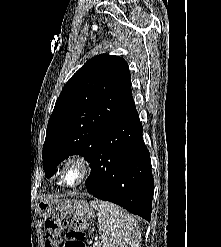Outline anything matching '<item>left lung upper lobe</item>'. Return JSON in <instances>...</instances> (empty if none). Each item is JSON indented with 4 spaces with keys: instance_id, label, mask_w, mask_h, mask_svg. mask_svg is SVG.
<instances>
[{
    "instance_id": "left-lung-upper-lobe-1",
    "label": "left lung upper lobe",
    "mask_w": 221,
    "mask_h": 247,
    "mask_svg": "<svg viewBox=\"0 0 221 247\" xmlns=\"http://www.w3.org/2000/svg\"><path fill=\"white\" fill-rule=\"evenodd\" d=\"M134 112L127 62L109 54L87 61L63 87L48 121L42 153L46 177L70 155L90 163L106 129Z\"/></svg>"
}]
</instances>
